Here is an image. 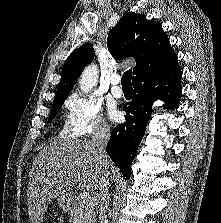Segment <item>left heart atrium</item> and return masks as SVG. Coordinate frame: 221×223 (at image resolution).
Returning a JSON list of instances; mask_svg holds the SVG:
<instances>
[{"mask_svg":"<svg viewBox=\"0 0 221 223\" xmlns=\"http://www.w3.org/2000/svg\"><path fill=\"white\" fill-rule=\"evenodd\" d=\"M108 112H109V117L112 120H117L119 118V113L114 107L110 106Z\"/></svg>","mask_w":221,"mask_h":223,"instance_id":"39dd6f15","label":"left heart atrium"}]
</instances>
